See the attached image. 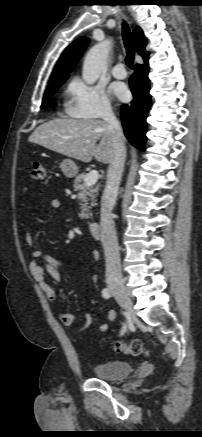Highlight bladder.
Segmentation results:
<instances>
[{
	"label": "bladder",
	"instance_id": "bladder-1",
	"mask_svg": "<svg viewBox=\"0 0 202 437\" xmlns=\"http://www.w3.org/2000/svg\"><path fill=\"white\" fill-rule=\"evenodd\" d=\"M132 370V365L122 360H110L93 366V373L97 378L109 381L123 380Z\"/></svg>",
	"mask_w": 202,
	"mask_h": 437
}]
</instances>
